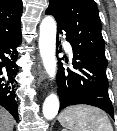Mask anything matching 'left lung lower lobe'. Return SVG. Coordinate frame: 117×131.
I'll use <instances>...</instances> for the list:
<instances>
[{
  "mask_svg": "<svg viewBox=\"0 0 117 131\" xmlns=\"http://www.w3.org/2000/svg\"><path fill=\"white\" fill-rule=\"evenodd\" d=\"M66 33L58 25L57 45L59 35ZM66 35V34H65ZM68 42L69 39L66 35ZM73 48V70L59 65L57 83L60 96V109L70 105L87 104L107 112L114 119V110L108 95V79L106 70L91 61L85 54Z\"/></svg>",
  "mask_w": 117,
  "mask_h": 131,
  "instance_id": "0a47b994",
  "label": "left lung lower lobe"
}]
</instances>
